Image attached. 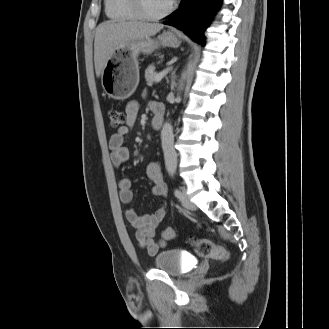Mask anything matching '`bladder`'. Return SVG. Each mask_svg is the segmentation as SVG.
<instances>
[{"label":"bladder","mask_w":329,"mask_h":329,"mask_svg":"<svg viewBox=\"0 0 329 329\" xmlns=\"http://www.w3.org/2000/svg\"><path fill=\"white\" fill-rule=\"evenodd\" d=\"M155 268L172 276H181L186 272L185 259L180 250L169 249L159 252L154 259Z\"/></svg>","instance_id":"obj_1"}]
</instances>
